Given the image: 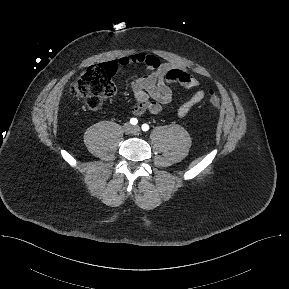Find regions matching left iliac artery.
<instances>
[{
  "label": "left iliac artery",
  "mask_w": 289,
  "mask_h": 289,
  "mask_svg": "<svg viewBox=\"0 0 289 289\" xmlns=\"http://www.w3.org/2000/svg\"><path fill=\"white\" fill-rule=\"evenodd\" d=\"M142 130L145 131V132L148 131L149 130V125L148 124H143L142 125Z\"/></svg>",
  "instance_id": "left-iliac-artery-1"
}]
</instances>
